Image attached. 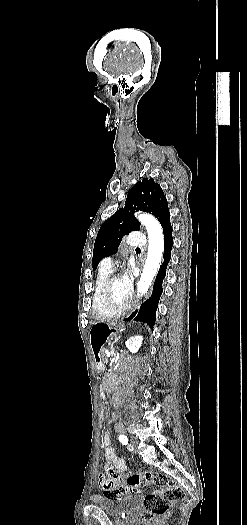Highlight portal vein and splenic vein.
Masks as SVG:
<instances>
[{
    "mask_svg": "<svg viewBox=\"0 0 247 525\" xmlns=\"http://www.w3.org/2000/svg\"><path fill=\"white\" fill-rule=\"evenodd\" d=\"M110 353H113V350H109V353H106L107 358H110Z\"/></svg>",
    "mask_w": 247,
    "mask_h": 525,
    "instance_id": "portal-vein-and-splenic-vein-1",
    "label": "portal vein and splenic vein"
}]
</instances>
